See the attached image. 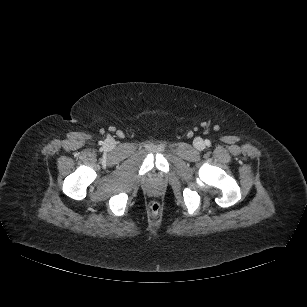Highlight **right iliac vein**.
Listing matches in <instances>:
<instances>
[{"label": "right iliac vein", "instance_id": "obj_1", "mask_svg": "<svg viewBox=\"0 0 307 307\" xmlns=\"http://www.w3.org/2000/svg\"><path fill=\"white\" fill-rule=\"evenodd\" d=\"M107 145H108L109 147H114V146H115V141H114V140H108V141H107Z\"/></svg>", "mask_w": 307, "mask_h": 307}]
</instances>
